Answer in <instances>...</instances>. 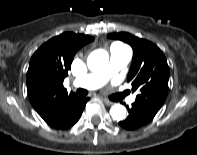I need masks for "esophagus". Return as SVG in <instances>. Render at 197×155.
<instances>
[{"label":"esophagus","mask_w":197,"mask_h":155,"mask_svg":"<svg viewBox=\"0 0 197 155\" xmlns=\"http://www.w3.org/2000/svg\"><path fill=\"white\" fill-rule=\"evenodd\" d=\"M103 102H104L106 105H108V106H110V105L113 104L112 101H109V100H107V99H103Z\"/></svg>","instance_id":"esophagus-1"}]
</instances>
